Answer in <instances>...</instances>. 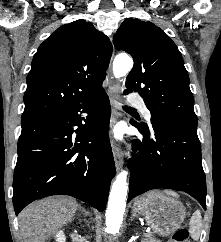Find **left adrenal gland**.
Instances as JSON below:
<instances>
[{"mask_svg": "<svg viewBox=\"0 0 221 242\" xmlns=\"http://www.w3.org/2000/svg\"><path fill=\"white\" fill-rule=\"evenodd\" d=\"M135 217H137V215H136L135 211H133L130 220L132 221Z\"/></svg>", "mask_w": 221, "mask_h": 242, "instance_id": "obj_1", "label": "left adrenal gland"}]
</instances>
